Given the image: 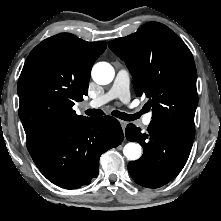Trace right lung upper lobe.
Here are the masks:
<instances>
[{
    "label": "right lung upper lobe",
    "mask_w": 221,
    "mask_h": 221,
    "mask_svg": "<svg viewBox=\"0 0 221 221\" xmlns=\"http://www.w3.org/2000/svg\"><path fill=\"white\" fill-rule=\"evenodd\" d=\"M105 49L104 42L60 33L30 52L17 87L28 151L58 129L88 118L77 115L72 106L88 94L91 68Z\"/></svg>",
    "instance_id": "1"
}]
</instances>
